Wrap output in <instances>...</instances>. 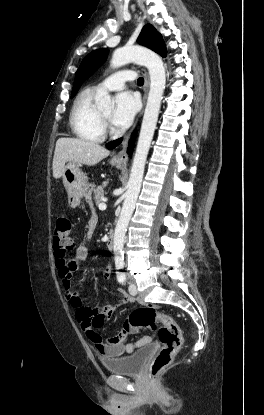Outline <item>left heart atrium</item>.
<instances>
[{
  "label": "left heart atrium",
  "instance_id": "39dd6f15",
  "mask_svg": "<svg viewBox=\"0 0 264 415\" xmlns=\"http://www.w3.org/2000/svg\"><path fill=\"white\" fill-rule=\"evenodd\" d=\"M138 110L137 97L128 91L117 94L111 121L117 128L127 127Z\"/></svg>",
  "mask_w": 264,
  "mask_h": 415
}]
</instances>
